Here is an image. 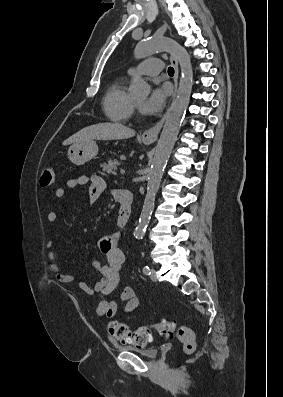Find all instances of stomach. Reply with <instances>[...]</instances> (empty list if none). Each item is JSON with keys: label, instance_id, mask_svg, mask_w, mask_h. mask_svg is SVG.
<instances>
[{"label": "stomach", "instance_id": "0dacf381", "mask_svg": "<svg viewBox=\"0 0 283 397\" xmlns=\"http://www.w3.org/2000/svg\"><path fill=\"white\" fill-rule=\"evenodd\" d=\"M143 143L150 144L147 140H143ZM97 154L98 146L94 140L74 143L68 150V158L75 165H83L95 158Z\"/></svg>", "mask_w": 283, "mask_h": 397}]
</instances>
